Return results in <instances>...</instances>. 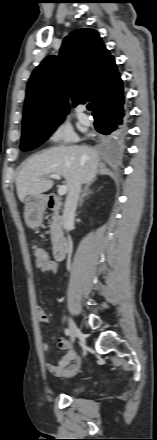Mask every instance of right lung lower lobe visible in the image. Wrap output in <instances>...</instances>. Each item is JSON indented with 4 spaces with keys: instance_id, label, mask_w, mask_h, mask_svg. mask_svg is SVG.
Segmentation results:
<instances>
[{
    "instance_id": "98d812e1",
    "label": "right lung lower lobe",
    "mask_w": 157,
    "mask_h": 440,
    "mask_svg": "<svg viewBox=\"0 0 157 440\" xmlns=\"http://www.w3.org/2000/svg\"><path fill=\"white\" fill-rule=\"evenodd\" d=\"M124 94L111 98L106 104L93 111L94 126L97 132L112 136L115 139L122 137L126 131V110Z\"/></svg>"
}]
</instances>
